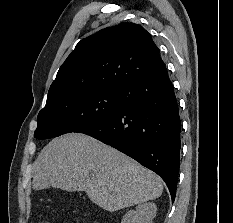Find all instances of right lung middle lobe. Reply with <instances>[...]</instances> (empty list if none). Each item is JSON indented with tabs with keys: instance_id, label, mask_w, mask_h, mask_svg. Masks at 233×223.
I'll return each instance as SVG.
<instances>
[{
	"instance_id": "obj_1",
	"label": "right lung middle lobe",
	"mask_w": 233,
	"mask_h": 223,
	"mask_svg": "<svg viewBox=\"0 0 233 223\" xmlns=\"http://www.w3.org/2000/svg\"><path fill=\"white\" fill-rule=\"evenodd\" d=\"M118 88H92L60 96L46 103L38 114L37 139H47L98 122L119 110Z\"/></svg>"
}]
</instances>
